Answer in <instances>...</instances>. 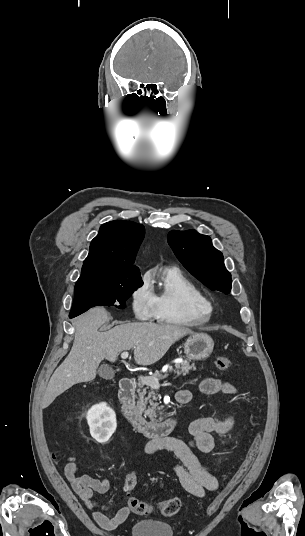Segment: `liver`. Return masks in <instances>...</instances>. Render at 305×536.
Listing matches in <instances>:
<instances>
[{
  "label": "liver",
  "instance_id": "6515ba94",
  "mask_svg": "<svg viewBox=\"0 0 305 536\" xmlns=\"http://www.w3.org/2000/svg\"><path fill=\"white\" fill-rule=\"evenodd\" d=\"M105 308H92L86 314L72 320L75 328L70 354L55 370L43 396L42 408H48L57 396L80 382H92L102 360L116 362L120 352L134 348V360L139 366H150L163 358L172 344L187 334L188 328L173 324H148L133 322L115 326L108 332H98L109 322Z\"/></svg>",
  "mask_w": 305,
  "mask_h": 536
}]
</instances>
